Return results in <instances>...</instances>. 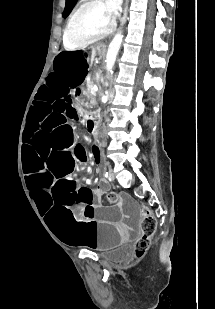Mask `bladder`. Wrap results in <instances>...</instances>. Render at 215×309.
<instances>
[{"label":"bladder","instance_id":"31cf9c89","mask_svg":"<svg viewBox=\"0 0 215 309\" xmlns=\"http://www.w3.org/2000/svg\"><path fill=\"white\" fill-rule=\"evenodd\" d=\"M131 255V249L128 247H120L113 251L101 255L103 259L112 263H119L126 260Z\"/></svg>","mask_w":215,"mask_h":309}]
</instances>
